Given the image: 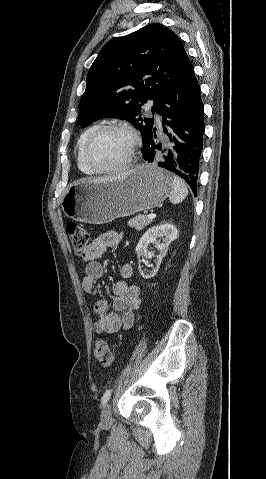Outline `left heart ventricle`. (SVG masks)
<instances>
[{
	"mask_svg": "<svg viewBox=\"0 0 266 479\" xmlns=\"http://www.w3.org/2000/svg\"><path fill=\"white\" fill-rule=\"evenodd\" d=\"M131 143V137L125 132L106 131L95 140L91 148V162L100 169L114 167L125 160Z\"/></svg>",
	"mask_w": 266,
	"mask_h": 479,
	"instance_id": "1",
	"label": "left heart ventricle"
}]
</instances>
